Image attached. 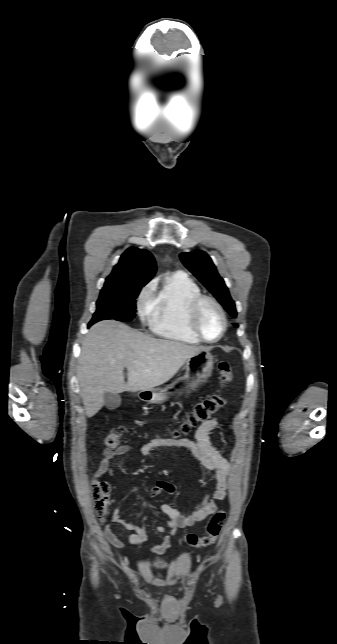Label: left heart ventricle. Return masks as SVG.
<instances>
[{
    "mask_svg": "<svg viewBox=\"0 0 337 644\" xmlns=\"http://www.w3.org/2000/svg\"><path fill=\"white\" fill-rule=\"evenodd\" d=\"M199 328L207 339H215L222 329V321L219 312L211 304H205L199 316Z\"/></svg>",
    "mask_w": 337,
    "mask_h": 644,
    "instance_id": "b2bd125f",
    "label": "left heart ventricle"
}]
</instances>
